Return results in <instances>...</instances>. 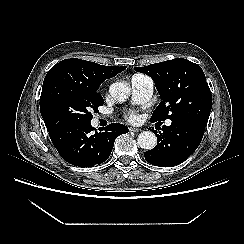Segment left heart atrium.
Here are the masks:
<instances>
[{"label": "left heart atrium", "mask_w": 244, "mask_h": 244, "mask_svg": "<svg viewBox=\"0 0 244 244\" xmlns=\"http://www.w3.org/2000/svg\"><path fill=\"white\" fill-rule=\"evenodd\" d=\"M127 119L132 123H136L139 121V116L135 112H131L127 115Z\"/></svg>", "instance_id": "obj_1"}]
</instances>
